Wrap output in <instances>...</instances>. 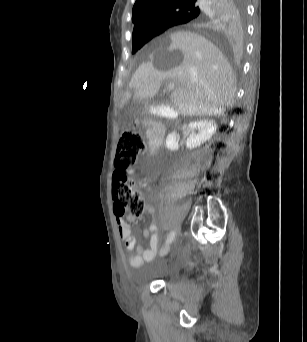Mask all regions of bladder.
I'll return each instance as SVG.
<instances>
[{"label": "bladder", "instance_id": "obj_1", "mask_svg": "<svg viewBox=\"0 0 307 342\" xmlns=\"http://www.w3.org/2000/svg\"><path fill=\"white\" fill-rule=\"evenodd\" d=\"M156 277L163 279V280H166V279H171L173 277V275L168 271H162V272L158 273L156 275Z\"/></svg>", "mask_w": 307, "mask_h": 342}]
</instances>
